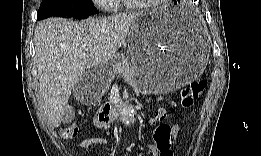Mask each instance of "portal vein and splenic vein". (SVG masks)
I'll return each instance as SVG.
<instances>
[{
    "mask_svg": "<svg viewBox=\"0 0 261 156\" xmlns=\"http://www.w3.org/2000/svg\"><path fill=\"white\" fill-rule=\"evenodd\" d=\"M83 57H85V54L80 55V58H83Z\"/></svg>",
    "mask_w": 261,
    "mask_h": 156,
    "instance_id": "obj_1",
    "label": "portal vein and splenic vein"
}]
</instances>
